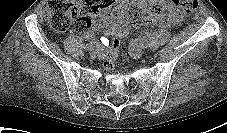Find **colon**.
<instances>
[{
  "instance_id": "5ec220e1",
  "label": "colon",
  "mask_w": 227,
  "mask_h": 133,
  "mask_svg": "<svg viewBox=\"0 0 227 133\" xmlns=\"http://www.w3.org/2000/svg\"><path fill=\"white\" fill-rule=\"evenodd\" d=\"M117 0H49L46 17L48 24L57 32H65L70 28L82 32L91 28L92 17L104 14ZM174 14L189 16L197 8L196 0H171ZM133 23H153L166 19L160 7L152 6L146 11L140 5H131L128 10ZM119 40L114 39L106 55L105 66L112 68L119 50Z\"/></svg>"
}]
</instances>
